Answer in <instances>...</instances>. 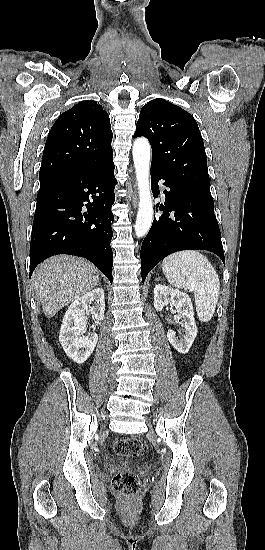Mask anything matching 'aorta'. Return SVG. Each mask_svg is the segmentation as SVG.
<instances>
[{"label":"aorta","instance_id":"762f6f07","mask_svg":"<svg viewBox=\"0 0 265 550\" xmlns=\"http://www.w3.org/2000/svg\"><path fill=\"white\" fill-rule=\"evenodd\" d=\"M133 160L139 191V208L135 224V234L144 237L153 221V203L149 181L150 144L145 138H138L133 144Z\"/></svg>","mask_w":265,"mask_h":550}]
</instances>
